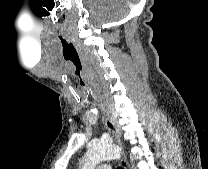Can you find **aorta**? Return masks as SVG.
<instances>
[{
  "mask_svg": "<svg viewBox=\"0 0 208 169\" xmlns=\"http://www.w3.org/2000/svg\"><path fill=\"white\" fill-rule=\"evenodd\" d=\"M120 156V148L112 143L99 142L90 147L83 157L82 169H95L102 161L116 159Z\"/></svg>",
  "mask_w": 208,
  "mask_h": 169,
  "instance_id": "762f6f07",
  "label": "aorta"
}]
</instances>
